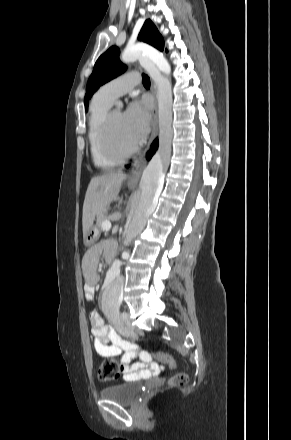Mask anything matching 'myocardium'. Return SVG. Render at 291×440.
I'll use <instances>...</instances> for the list:
<instances>
[{
	"label": "myocardium",
	"instance_id": "myocardium-1",
	"mask_svg": "<svg viewBox=\"0 0 291 440\" xmlns=\"http://www.w3.org/2000/svg\"><path fill=\"white\" fill-rule=\"evenodd\" d=\"M113 114L114 111H109L107 113L101 127L100 137H101L102 147L105 154L110 159L116 162H123L129 159L139 149V144L135 143L131 148L124 151L118 150L114 146L111 138Z\"/></svg>",
	"mask_w": 291,
	"mask_h": 440
}]
</instances>
